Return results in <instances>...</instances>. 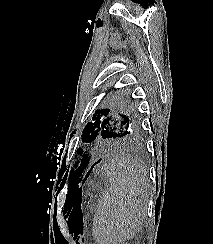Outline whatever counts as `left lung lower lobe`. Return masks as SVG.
<instances>
[{"instance_id":"obj_1","label":"left lung lower lobe","mask_w":213,"mask_h":244,"mask_svg":"<svg viewBox=\"0 0 213 244\" xmlns=\"http://www.w3.org/2000/svg\"><path fill=\"white\" fill-rule=\"evenodd\" d=\"M99 161H100V160H99ZM99 161H98V162H99ZM96 164H97V163H94L93 166H95ZM93 166H92L91 169L88 171V173L83 177L81 183H84V182L87 180V178H88V176H89V174H90V172H91Z\"/></svg>"}]
</instances>
